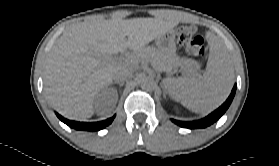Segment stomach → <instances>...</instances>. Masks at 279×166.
I'll use <instances>...</instances> for the list:
<instances>
[{"instance_id": "1", "label": "stomach", "mask_w": 279, "mask_h": 166, "mask_svg": "<svg viewBox=\"0 0 279 166\" xmlns=\"http://www.w3.org/2000/svg\"><path fill=\"white\" fill-rule=\"evenodd\" d=\"M156 45L161 52L176 57L175 33L173 30L158 37Z\"/></svg>"}]
</instances>
